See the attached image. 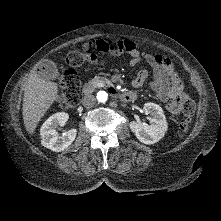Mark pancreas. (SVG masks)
<instances>
[{"label": "pancreas", "instance_id": "obj_1", "mask_svg": "<svg viewBox=\"0 0 221 221\" xmlns=\"http://www.w3.org/2000/svg\"><path fill=\"white\" fill-rule=\"evenodd\" d=\"M89 85L92 86L93 88H100L111 85V81L108 78L96 76L89 81Z\"/></svg>", "mask_w": 221, "mask_h": 221}]
</instances>
